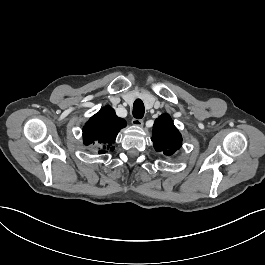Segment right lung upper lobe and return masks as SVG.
Returning a JSON list of instances; mask_svg holds the SVG:
<instances>
[{"mask_svg": "<svg viewBox=\"0 0 265 265\" xmlns=\"http://www.w3.org/2000/svg\"><path fill=\"white\" fill-rule=\"evenodd\" d=\"M126 126V121L115 114L111 106L103 107L93 115L83 127V141L86 146H99L97 152L105 154L113 150L118 132Z\"/></svg>", "mask_w": 265, "mask_h": 265, "instance_id": "cb5924a9", "label": "right lung upper lobe"}]
</instances>
